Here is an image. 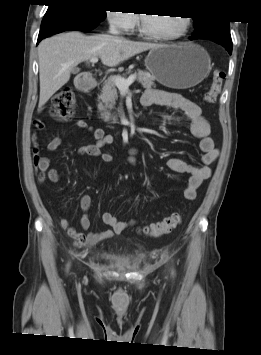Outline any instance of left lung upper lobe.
<instances>
[{
	"instance_id": "left-lung-upper-lobe-1",
	"label": "left lung upper lobe",
	"mask_w": 261,
	"mask_h": 355,
	"mask_svg": "<svg viewBox=\"0 0 261 355\" xmlns=\"http://www.w3.org/2000/svg\"><path fill=\"white\" fill-rule=\"evenodd\" d=\"M195 33L190 37L193 39H217L230 42V25L229 21L225 20H209L193 18Z\"/></svg>"
}]
</instances>
